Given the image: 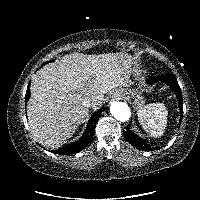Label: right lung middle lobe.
<instances>
[{
	"mask_svg": "<svg viewBox=\"0 0 200 200\" xmlns=\"http://www.w3.org/2000/svg\"><path fill=\"white\" fill-rule=\"evenodd\" d=\"M49 62H51V61H47V62H45L44 64L49 63ZM44 64H43V65H44ZM43 65H42V66H43Z\"/></svg>",
	"mask_w": 200,
	"mask_h": 200,
	"instance_id": "dd1d6c3e",
	"label": "right lung middle lobe"
}]
</instances>
